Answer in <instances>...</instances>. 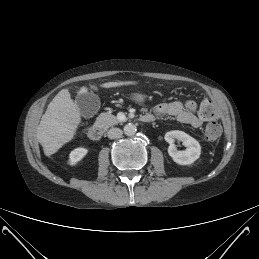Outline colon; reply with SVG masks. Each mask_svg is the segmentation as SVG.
<instances>
[{
    "label": "colon",
    "mask_w": 259,
    "mask_h": 259,
    "mask_svg": "<svg viewBox=\"0 0 259 259\" xmlns=\"http://www.w3.org/2000/svg\"><path fill=\"white\" fill-rule=\"evenodd\" d=\"M200 112L210 120L205 128V137L211 141L216 140L221 134V126L216 121L219 117V110L213 107L209 100H204Z\"/></svg>",
    "instance_id": "1"
}]
</instances>
